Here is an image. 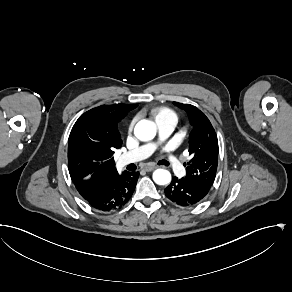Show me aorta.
I'll return each mask as SVG.
<instances>
[{
	"label": "aorta",
	"mask_w": 292,
	"mask_h": 292,
	"mask_svg": "<svg viewBox=\"0 0 292 292\" xmlns=\"http://www.w3.org/2000/svg\"><path fill=\"white\" fill-rule=\"evenodd\" d=\"M134 134L141 141L152 140L156 135L155 123L149 120L139 121L134 128ZM153 180L158 185H166L171 181V174L168 170L157 169L153 173Z\"/></svg>",
	"instance_id": "762f6f07"
}]
</instances>
